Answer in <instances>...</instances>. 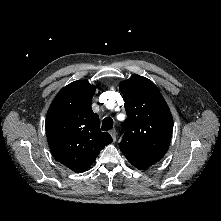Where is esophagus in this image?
Masks as SVG:
<instances>
[{
    "mask_svg": "<svg viewBox=\"0 0 221 221\" xmlns=\"http://www.w3.org/2000/svg\"><path fill=\"white\" fill-rule=\"evenodd\" d=\"M110 135L112 136L113 141H116L117 139V132L116 130H111Z\"/></svg>",
    "mask_w": 221,
    "mask_h": 221,
    "instance_id": "34e87169",
    "label": "esophagus"
}]
</instances>
